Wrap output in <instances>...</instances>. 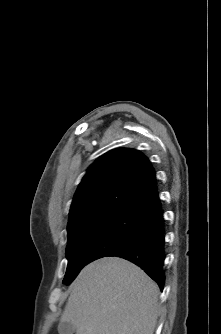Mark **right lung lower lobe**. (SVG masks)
Instances as JSON below:
<instances>
[{
  "mask_svg": "<svg viewBox=\"0 0 221 334\" xmlns=\"http://www.w3.org/2000/svg\"><path fill=\"white\" fill-rule=\"evenodd\" d=\"M164 219L158 200L142 217L131 233L106 256H118L141 267L163 290Z\"/></svg>",
  "mask_w": 221,
  "mask_h": 334,
  "instance_id": "obj_1",
  "label": "right lung lower lobe"
}]
</instances>
